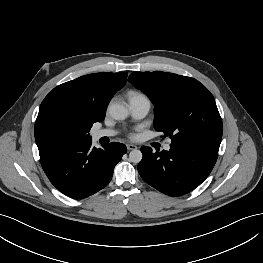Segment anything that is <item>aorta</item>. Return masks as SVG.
<instances>
[{
    "mask_svg": "<svg viewBox=\"0 0 263 263\" xmlns=\"http://www.w3.org/2000/svg\"><path fill=\"white\" fill-rule=\"evenodd\" d=\"M109 113L116 120H124L128 116V109L122 104L113 103L109 106ZM142 156V152L137 149H133L129 153V159L133 163H139L142 160Z\"/></svg>",
    "mask_w": 263,
    "mask_h": 263,
    "instance_id": "1",
    "label": "aorta"
}]
</instances>
